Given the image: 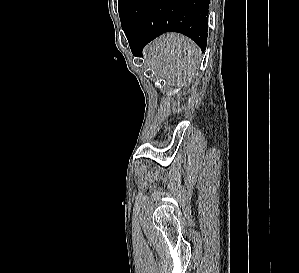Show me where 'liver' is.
<instances>
[{
    "instance_id": "obj_1",
    "label": "liver",
    "mask_w": 299,
    "mask_h": 273,
    "mask_svg": "<svg viewBox=\"0 0 299 273\" xmlns=\"http://www.w3.org/2000/svg\"><path fill=\"white\" fill-rule=\"evenodd\" d=\"M145 57L155 72L175 87L187 86L200 65L199 47L177 33H168L154 40L145 48Z\"/></svg>"
}]
</instances>
